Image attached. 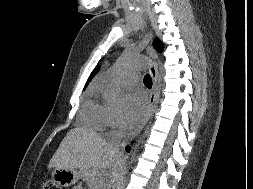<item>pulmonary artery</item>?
Listing matches in <instances>:
<instances>
[{
    "mask_svg": "<svg viewBox=\"0 0 253 189\" xmlns=\"http://www.w3.org/2000/svg\"><path fill=\"white\" fill-rule=\"evenodd\" d=\"M138 80V77L135 74H128L125 77V83L135 84Z\"/></svg>",
    "mask_w": 253,
    "mask_h": 189,
    "instance_id": "e3ab8cb5",
    "label": "pulmonary artery"
}]
</instances>
